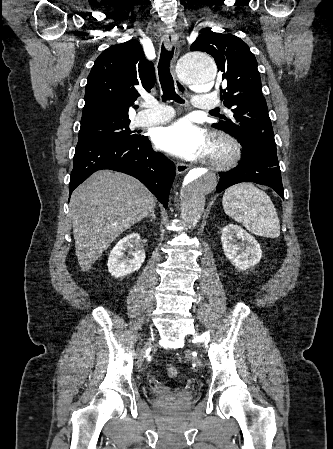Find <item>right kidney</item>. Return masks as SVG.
Listing matches in <instances>:
<instances>
[{"label":"right kidney","instance_id":"1","mask_svg":"<svg viewBox=\"0 0 333 449\" xmlns=\"http://www.w3.org/2000/svg\"><path fill=\"white\" fill-rule=\"evenodd\" d=\"M145 257L140 235L129 234L111 250L107 264L108 271L115 278L127 276L140 269Z\"/></svg>","mask_w":333,"mask_h":449}]
</instances>
